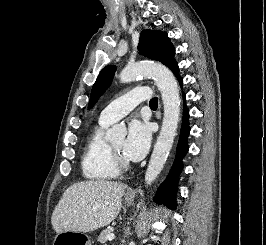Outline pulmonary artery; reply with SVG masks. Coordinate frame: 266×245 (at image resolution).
Returning a JSON list of instances; mask_svg holds the SVG:
<instances>
[{"label": "pulmonary artery", "instance_id": "1", "mask_svg": "<svg viewBox=\"0 0 266 245\" xmlns=\"http://www.w3.org/2000/svg\"><path fill=\"white\" fill-rule=\"evenodd\" d=\"M137 91H127V96H119L118 100H112L99 115V120L105 123H113L131 112L141 101H148L149 86H137Z\"/></svg>", "mask_w": 266, "mask_h": 245}]
</instances>
